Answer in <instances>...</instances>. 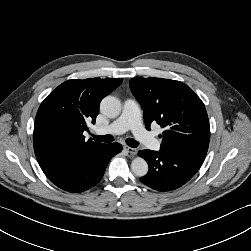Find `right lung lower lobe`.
I'll return each instance as SVG.
<instances>
[{
  "label": "right lung lower lobe",
  "mask_w": 251,
  "mask_h": 251,
  "mask_svg": "<svg viewBox=\"0 0 251 251\" xmlns=\"http://www.w3.org/2000/svg\"><path fill=\"white\" fill-rule=\"evenodd\" d=\"M122 150L119 143L102 147L72 159H55L39 163L44 174L57 187L73 193L96 185L104 175L109 161Z\"/></svg>",
  "instance_id": "1"
}]
</instances>
